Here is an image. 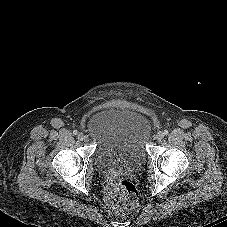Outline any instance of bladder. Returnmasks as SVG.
<instances>
[{"instance_id":"31cf9c89","label":"bladder","mask_w":227,"mask_h":227,"mask_svg":"<svg viewBox=\"0 0 227 227\" xmlns=\"http://www.w3.org/2000/svg\"><path fill=\"white\" fill-rule=\"evenodd\" d=\"M86 129L95 141V165L101 172L136 167L144 161L148 130L144 113L108 106L89 116Z\"/></svg>"}]
</instances>
